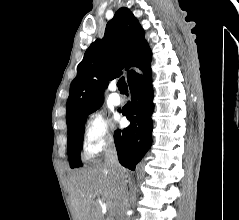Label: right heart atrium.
Returning <instances> with one entry per match:
<instances>
[{
    "mask_svg": "<svg viewBox=\"0 0 239 220\" xmlns=\"http://www.w3.org/2000/svg\"><path fill=\"white\" fill-rule=\"evenodd\" d=\"M113 144L110 124L99 110L91 112L84 121L82 145L86 156L95 157Z\"/></svg>",
    "mask_w": 239,
    "mask_h": 220,
    "instance_id": "1",
    "label": "right heart atrium"
}]
</instances>
